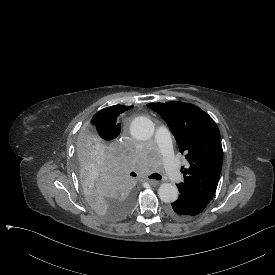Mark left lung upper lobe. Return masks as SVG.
<instances>
[{
	"label": "left lung upper lobe",
	"mask_w": 275,
	"mask_h": 275,
	"mask_svg": "<svg viewBox=\"0 0 275 275\" xmlns=\"http://www.w3.org/2000/svg\"><path fill=\"white\" fill-rule=\"evenodd\" d=\"M167 122L190 167L182 170L184 182L177 184L182 190H191L211 201L218 185L223 150L219 129L214 120L199 107L184 102L150 103ZM183 169V167H182Z\"/></svg>",
	"instance_id": "left-lung-upper-lobe-1"
}]
</instances>
